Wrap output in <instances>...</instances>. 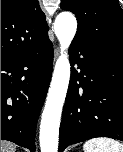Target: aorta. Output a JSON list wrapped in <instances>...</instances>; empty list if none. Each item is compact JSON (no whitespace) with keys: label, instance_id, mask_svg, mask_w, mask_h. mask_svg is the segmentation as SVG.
I'll return each mask as SVG.
<instances>
[{"label":"aorta","instance_id":"1","mask_svg":"<svg viewBox=\"0 0 123 152\" xmlns=\"http://www.w3.org/2000/svg\"><path fill=\"white\" fill-rule=\"evenodd\" d=\"M77 21L70 12L60 13L54 31L60 42L61 55L56 61L40 125L41 152H57L61 113L70 80L68 48L76 34Z\"/></svg>","mask_w":123,"mask_h":152}]
</instances>
